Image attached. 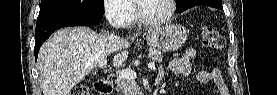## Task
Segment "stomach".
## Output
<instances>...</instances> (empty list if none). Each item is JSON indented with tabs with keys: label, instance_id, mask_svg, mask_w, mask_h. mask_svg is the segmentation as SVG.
Segmentation results:
<instances>
[{
	"label": "stomach",
	"instance_id": "0dacf381",
	"mask_svg": "<svg viewBox=\"0 0 277 95\" xmlns=\"http://www.w3.org/2000/svg\"><path fill=\"white\" fill-rule=\"evenodd\" d=\"M187 36V30L183 26L170 24L150 30L146 34V40L154 49L172 52L183 46Z\"/></svg>",
	"mask_w": 277,
	"mask_h": 95
}]
</instances>
